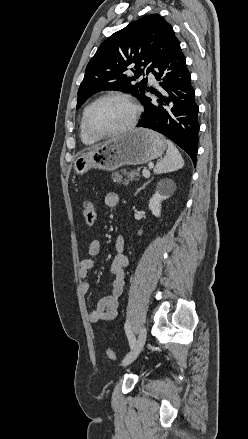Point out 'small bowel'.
<instances>
[{"mask_svg": "<svg viewBox=\"0 0 248 439\" xmlns=\"http://www.w3.org/2000/svg\"><path fill=\"white\" fill-rule=\"evenodd\" d=\"M119 202V195L116 192H108L105 196V204L114 208ZM101 248L100 241L92 240L88 245V256L84 257L79 264L78 275L81 280L80 288L84 294L90 290V284L87 280L89 271L93 268L95 257L99 254ZM116 255L110 266L113 275L111 283V292L105 297L98 300L95 308L90 312L89 319L93 323L110 322L118 314L119 300L125 286V268L129 266V259L124 254V239L118 236L115 242Z\"/></svg>", "mask_w": 248, "mask_h": 439, "instance_id": "1", "label": "small bowel"}]
</instances>
